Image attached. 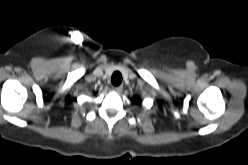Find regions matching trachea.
I'll list each match as a JSON object with an SVG mask.
<instances>
[{
  "label": "trachea",
  "mask_w": 248,
  "mask_h": 165,
  "mask_svg": "<svg viewBox=\"0 0 248 165\" xmlns=\"http://www.w3.org/2000/svg\"><path fill=\"white\" fill-rule=\"evenodd\" d=\"M111 82L113 85L118 86L121 84L122 82V75L120 72L116 71L113 73L112 77H111Z\"/></svg>",
  "instance_id": "obj_1"
}]
</instances>
